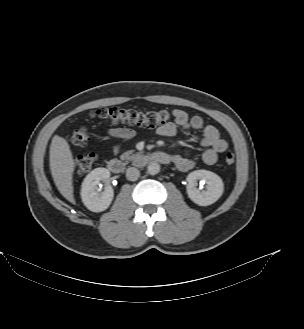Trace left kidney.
Instances as JSON below:
<instances>
[{"label":"left kidney","mask_w":304,"mask_h":329,"mask_svg":"<svg viewBox=\"0 0 304 329\" xmlns=\"http://www.w3.org/2000/svg\"><path fill=\"white\" fill-rule=\"evenodd\" d=\"M188 197L200 206H208L216 202L223 194L224 184L222 179L215 173L207 170H195L186 178ZM203 181L206 190L200 191L196 188L197 182Z\"/></svg>","instance_id":"obj_1"}]
</instances>
